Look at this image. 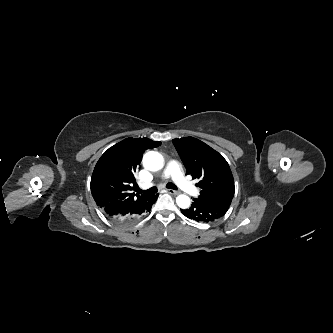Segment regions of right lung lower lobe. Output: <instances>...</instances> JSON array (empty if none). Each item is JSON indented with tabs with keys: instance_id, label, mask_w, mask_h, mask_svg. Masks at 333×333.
<instances>
[{
	"instance_id": "1",
	"label": "right lung lower lobe",
	"mask_w": 333,
	"mask_h": 333,
	"mask_svg": "<svg viewBox=\"0 0 333 333\" xmlns=\"http://www.w3.org/2000/svg\"><path fill=\"white\" fill-rule=\"evenodd\" d=\"M158 194L148 195L145 198L128 202H115L101 208L104 214L113 222L131 224L139 220L145 213L150 211L156 202Z\"/></svg>"
}]
</instances>
